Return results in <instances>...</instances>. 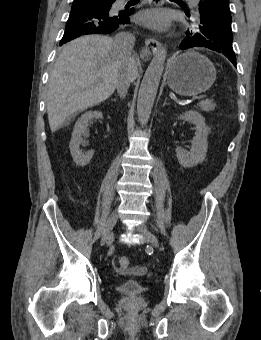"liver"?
<instances>
[{
    "label": "liver",
    "mask_w": 261,
    "mask_h": 340,
    "mask_svg": "<svg viewBox=\"0 0 261 340\" xmlns=\"http://www.w3.org/2000/svg\"><path fill=\"white\" fill-rule=\"evenodd\" d=\"M123 71H130L134 81L137 61L134 57H121L112 38L87 35L69 42L49 80L47 114L52 133L68 117L109 98Z\"/></svg>",
    "instance_id": "6515ba94"
}]
</instances>
